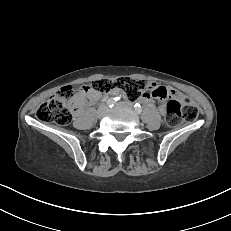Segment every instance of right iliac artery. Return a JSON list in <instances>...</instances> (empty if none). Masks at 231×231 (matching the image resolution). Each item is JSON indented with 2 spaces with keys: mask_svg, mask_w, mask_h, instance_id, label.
I'll return each mask as SVG.
<instances>
[{
  "mask_svg": "<svg viewBox=\"0 0 231 231\" xmlns=\"http://www.w3.org/2000/svg\"><path fill=\"white\" fill-rule=\"evenodd\" d=\"M118 100H119V97H114V98L112 97L107 101V105L109 107H113L117 103Z\"/></svg>",
  "mask_w": 231,
  "mask_h": 231,
  "instance_id": "1",
  "label": "right iliac artery"
}]
</instances>
